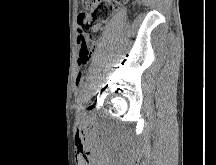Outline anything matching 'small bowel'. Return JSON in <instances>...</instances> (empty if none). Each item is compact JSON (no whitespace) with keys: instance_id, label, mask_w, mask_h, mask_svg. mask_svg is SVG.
<instances>
[{"instance_id":"obj_1","label":"small bowel","mask_w":216,"mask_h":165,"mask_svg":"<svg viewBox=\"0 0 216 165\" xmlns=\"http://www.w3.org/2000/svg\"><path fill=\"white\" fill-rule=\"evenodd\" d=\"M79 65H80V62H79ZM81 65H82V64H81ZM81 81H82V75H81V73H80V74L77 76L76 84H77V85H80Z\"/></svg>"}]
</instances>
